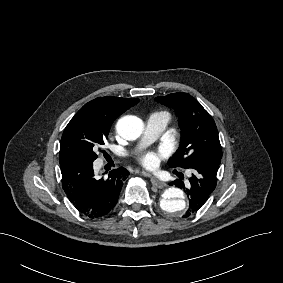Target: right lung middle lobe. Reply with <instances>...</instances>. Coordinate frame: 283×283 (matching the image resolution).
Listing matches in <instances>:
<instances>
[{
    "instance_id": "obj_1",
    "label": "right lung middle lobe",
    "mask_w": 283,
    "mask_h": 283,
    "mask_svg": "<svg viewBox=\"0 0 283 283\" xmlns=\"http://www.w3.org/2000/svg\"><path fill=\"white\" fill-rule=\"evenodd\" d=\"M110 127L111 123L102 116L78 111L63 132L60 164L78 159L93 162L97 158L95 150L104 144Z\"/></svg>"
}]
</instances>
